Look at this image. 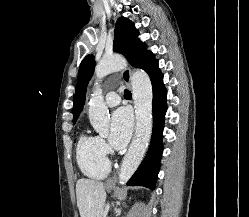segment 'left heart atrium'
<instances>
[{"mask_svg": "<svg viewBox=\"0 0 249 217\" xmlns=\"http://www.w3.org/2000/svg\"><path fill=\"white\" fill-rule=\"evenodd\" d=\"M132 126V116L126 108H119L113 113L109 141L115 149H123L127 145Z\"/></svg>", "mask_w": 249, "mask_h": 217, "instance_id": "1", "label": "left heart atrium"}]
</instances>
